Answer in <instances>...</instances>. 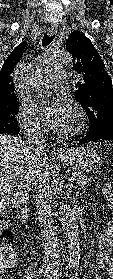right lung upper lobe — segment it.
Returning a JSON list of instances; mask_svg holds the SVG:
<instances>
[{
	"mask_svg": "<svg viewBox=\"0 0 113 279\" xmlns=\"http://www.w3.org/2000/svg\"><path fill=\"white\" fill-rule=\"evenodd\" d=\"M26 42L18 45L5 60L0 71V109L17 102L12 73L16 64L21 60Z\"/></svg>",
	"mask_w": 113,
	"mask_h": 279,
	"instance_id": "obj_1",
	"label": "right lung upper lobe"
}]
</instances>
